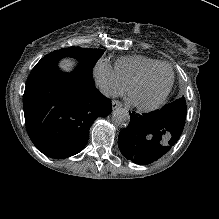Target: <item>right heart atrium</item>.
Segmentation results:
<instances>
[{
	"instance_id": "d8ad5b80",
	"label": "right heart atrium",
	"mask_w": 219,
	"mask_h": 219,
	"mask_svg": "<svg viewBox=\"0 0 219 219\" xmlns=\"http://www.w3.org/2000/svg\"><path fill=\"white\" fill-rule=\"evenodd\" d=\"M93 76L99 88L107 96H117L125 91L124 84L116 78L110 64L106 61H100L96 64Z\"/></svg>"
}]
</instances>
